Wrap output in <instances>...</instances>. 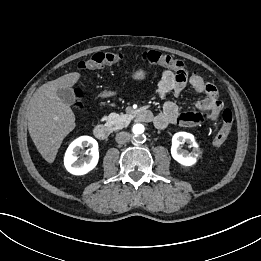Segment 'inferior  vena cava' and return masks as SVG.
<instances>
[{"label": "inferior vena cava", "mask_w": 261, "mask_h": 261, "mask_svg": "<svg viewBox=\"0 0 261 261\" xmlns=\"http://www.w3.org/2000/svg\"><path fill=\"white\" fill-rule=\"evenodd\" d=\"M130 135L127 132H119L115 136V140L118 144H125L129 141Z\"/></svg>", "instance_id": "1"}]
</instances>
